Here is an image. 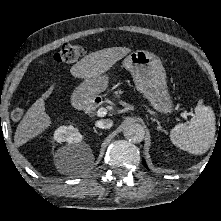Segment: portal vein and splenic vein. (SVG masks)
Segmentation results:
<instances>
[{
	"label": "portal vein and splenic vein",
	"instance_id": "obj_1",
	"mask_svg": "<svg viewBox=\"0 0 221 221\" xmlns=\"http://www.w3.org/2000/svg\"><path fill=\"white\" fill-rule=\"evenodd\" d=\"M106 114H107V109L104 108V107L99 108V109L97 110V112H96V115H97L98 117H104ZM188 115H191V113H186V112H182V113H181V116H182L185 120L188 119Z\"/></svg>",
	"mask_w": 221,
	"mask_h": 221
}]
</instances>
